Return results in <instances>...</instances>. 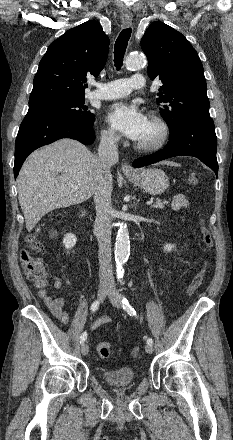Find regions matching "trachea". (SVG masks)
Segmentation results:
<instances>
[{
	"mask_svg": "<svg viewBox=\"0 0 233 440\" xmlns=\"http://www.w3.org/2000/svg\"><path fill=\"white\" fill-rule=\"evenodd\" d=\"M131 28H126L119 34L114 46V62L115 67L120 69L123 65V58L127 48L128 41L131 36Z\"/></svg>",
	"mask_w": 233,
	"mask_h": 440,
	"instance_id": "1",
	"label": "trachea"
}]
</instances>
